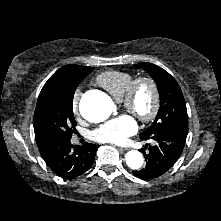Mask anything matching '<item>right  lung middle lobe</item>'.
Instances as JSON below:
<instances>
[{
	"mask_svg": "<svg viewBox=\"0 0 221 221\" xmlns=\"http://www.w3.org/2000/svg\"><path fill=\"white\" fill-rule=\"evenodd\" d=\"M92 71V67L73 66L40 92L33 121L37 145L71 139L76 125L72 110L74 93Z\"/></svg>",
	"mask_w": 221,
	"mask_h": 221,
	"instance_id": "obj_1",
	"label": "right lung middle lobe"
}]
</instances>
